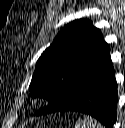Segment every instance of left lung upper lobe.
<instances>
[{
	"label": "left lung upper lobe",
	"instance_id": "1",
	"mask_svg": "<svg viewBox=\"0 0 125 128\" xmlns=\"http://www.w3.org/2000/svg\"><path fill=\"white\" fill-rule=\"evenodd\" d=\"M108 52V44L91 21L80 19L65 25L37 61L30 93L50 104L36 115L67 105L84 75Z\"/></svg>",
	"mask_w": 125,
	"mask_h": 128
}]
</instances>
